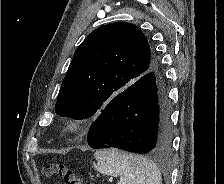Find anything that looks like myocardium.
Wrapping results in <instances>:
<instances>
[{"label":"myocardium","mask_w":224,"mask_h":184,"mask_svg":"<svg viewBox=\"0 0 224 184\" xmlns=\"http://www.w3.org/2000/svg\"><path fill=\"white\" fill-rule=\"evenodd\" d=\"M83 131L82 122L78 118L70 119L67 124L66 132L69 136L76 137L79 136Z\"/></svg>","instance_id":"obj_1"}]
</instances>
